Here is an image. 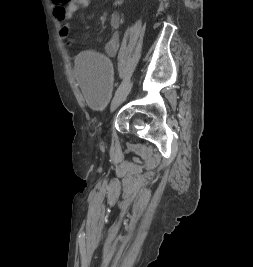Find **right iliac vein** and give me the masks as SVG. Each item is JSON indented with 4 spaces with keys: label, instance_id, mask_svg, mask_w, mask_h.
<instances>
[{
    "label": "right iliac vein",
    "instance_id": "63e3f726",
    "mask_svg": "<svg viewBox=\"0 0 253 267\" xmlns=\"http://www.w3.org/2000/svg\"><path fill=\"white\" fill-rule=\"evenodd\" d=\"M131 89V84L128 82L113 98L111 103V112L115 111L118 106L126 99Z\"/></svg>",
    "mask_w": 253,
    "mask_h": 267
}]
</instances>
